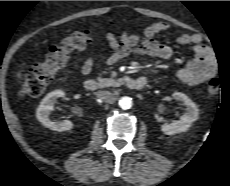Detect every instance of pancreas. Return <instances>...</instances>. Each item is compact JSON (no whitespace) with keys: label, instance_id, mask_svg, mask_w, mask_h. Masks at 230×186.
Segmentation results:
<instances>
[{"label":"pancreas","instance_id":"pancreas-1","mask_svg":"<svg viewBox=\"0 0 230 186\" xmlns=\"http://www.w3.org/2000/svg\"><path fill=\"white\" fill-rule=\"evenodd\" d=\"M98 81H99L100 86L102 88H104V87H119L121 85V80L120 79L115 80V79H112V78L99 77Z\"/></svg>","mask_w":230,"mask_h":186}]
</instances>
